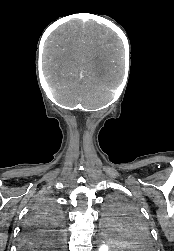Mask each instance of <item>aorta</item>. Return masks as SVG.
Masks as SVG:
<instances>
[{"label": "aorta", "instance_id": "762f6f07", "mask_svg": "<svg viewBox=\"0 0 174 251\" xmlns=\"http://www.w3.org/2000/svg\"><path fill=\"white\" fill-rule=\"evenodd\" d=\"M121 224L111 227L109 221L104 223L101 227L100 235L98 240L97 250L98 251H115L122 248V240L124 239L125 233Z\"/></svg>", "mask_w": 174, "mask_h": 251}]
</instances>
